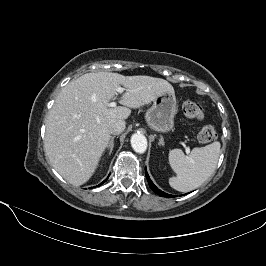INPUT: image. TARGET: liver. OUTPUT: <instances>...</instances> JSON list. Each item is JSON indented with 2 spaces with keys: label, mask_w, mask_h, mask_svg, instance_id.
<instances>
[{
  "label": "liver",
  "mask_w": 266,
  "mask_h": 266,
  "mask_svg": "<svg viewBox=\"0 0 266 266\" xmlns=\"http://www.w3.org/2000/svg\"><path fill=\"white\" fill-rule=\"evenodd\" d=\"M125 87L120 103L109 108L116 87ZM174 94L166 80L118 73H86L69 82L58 94L46 120L45 154L54 169L70 184L79 186L94 174L111 140L108 126L125 120L129 108H139L156 97Z\"/></svg>",
  "instance_id": "obj_1"
}]
</instances>
